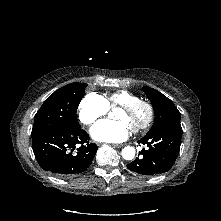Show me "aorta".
Here are the masks:
<instances>
[{
  "label": "aorta",
  "mask_w": 221,
  "mask_h": 221,
  "mask_svg": "<svg viewBox=\"0 0 221 221\" xmlns=\"http://www.w3.org/2000/svg\"><path fill=\"white\" fill-rule=\"evenodd\" d=\"M121 155L125 160H132L135 157V149L131 146L124 147Z\"/></svg>",
  "instance_id": "obj_1"
}]
</instances>
